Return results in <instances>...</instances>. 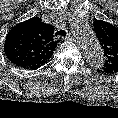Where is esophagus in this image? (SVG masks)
Instances as JSON below:
<instances>
[{
	"label": "esophagus",
	"instance_id": "1",
	"mask_svg": "<svg viewBox=\"0 0 118 118\" xmlns=\"http://www.w3.org/2000/svg\"><path fill=\"white\" fill-rule=\"evenodd\" d=\"M62 39H65V40L72 39V35L71 34H68L66 37H62Z\"/></svg>",
	"mask_w": 118,
	"mask_h": 118
}]
</instances>
